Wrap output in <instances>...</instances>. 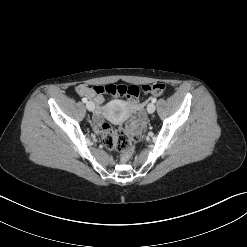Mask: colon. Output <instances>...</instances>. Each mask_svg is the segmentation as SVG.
<instances>
[{
	"label": "colon",
	"instance_id": "obj_1",
	"mask_svg": "<svg viewBox=\"0 0 247 247\" xmlns=\"http://www.w3.org/2000/svg\"><path fill=\"white\" fill-rule=\"evenodd\" d=\"M166 90V86L161 83L148 85H115L97 86L94 93L100 95L103 93L126 97L133 106L140 103L139 96L141 93L153 96H161ZM102 142L104 146L120 153L123 161H127L132 154L134 146L141 141L145 134V124L139 119L131 120L125 128L113 130L108 124L100 126Z\"/></svg>",
	"mask_w": 247,
	"mask_h": 247
}]
</instances>
